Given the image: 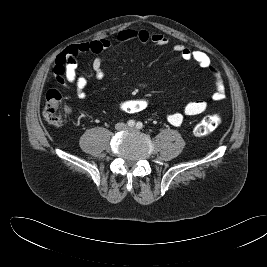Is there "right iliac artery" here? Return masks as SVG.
Returning <instances> with one entry per match:
<instances>
[{
	"label": "right iliac artery",
	"mask_w": 267,
	"mask_h": 267,
	"mask_svg": "<svg viewBox=\"0 0 267 267\" xmlns=\"http://www.w3.org/2000/svg\"><path fill=\"white\" fill-rule=\"evenodd\" d=\"M127 124H128L129 127H134V125H135V121H134V120H129V121L127 122Z\"/></svg>",
	"instance_id": "obj_1"
}]
</instances>
